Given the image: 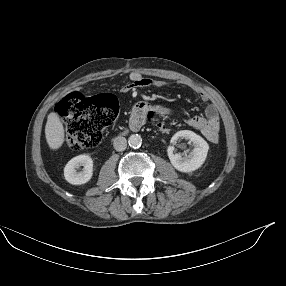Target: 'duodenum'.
Instances as JSON below:
<instances>
[{"label": "duodenum", "instance_id": "1", "mask_svg": "<svg viewBox=\"0 0 286 286\" xmlns=\"http://www.w3.org/2000/svg\"><path fill=\"white\" fill-rule=\"evenodd\" d=\"M146 110L142 109H137V115L133 117L130 122H129V129L133 131L139 130L143 124H144V119L141 117V114L145 112Z\"/></svg>", "mask_w": 286, "mask_h": 286}]
</instances>
